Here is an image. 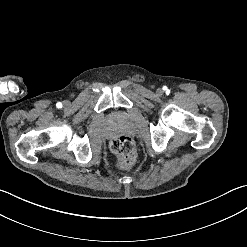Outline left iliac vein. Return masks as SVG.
<instances>
[{
	"label": "left iliac vein",
	"mask_w": 247,
	"mask_h": 247,
	"mask_svg": "<svg viewBox=\"0 0 247 247\" xmlns=\"http://www.w3.org/2000/svg\"><path fill=\"white\" fill-rule=\"evenodd\" d=\"M162 94H163L162 89H158V90H157V95H158V96H162Z\"/></svg>",
	"instance_id": "left-iliac-vein-1"
}]
</instances>
